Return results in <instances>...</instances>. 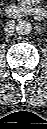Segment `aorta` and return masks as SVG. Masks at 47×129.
Masks as SVG:
<instances>
[{
  "mask_svg": "<svg viewBox=\"0 0 47 129\" xmlns=\"http://www.w3.org/2000/svg\"><path fill=\"white\" fill-rule=\"evenodd\" d=\"M16 31L19 35H28L32 31V25L26 20H20L16 25Z\"/></svg>",
  "mask_w": 47,
  "mask_h": 129,
  "instance_id": "aorta-1",
  "label": "aorta"
}]
</instances>
